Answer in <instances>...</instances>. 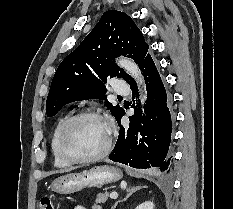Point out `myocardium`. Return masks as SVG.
Wrapping results in <instances>:
<instances>
[{
	"mask_svg": "<svg viewBox=\"0 0 233 209\" xmlns=\"http://www.w3.org/2000/svg\"><path fill=\"white\" fill-rule=\"evenodd\" d=\"M84 118H96L103 122L102 116L99 113L92 111V110L80 111L70 116L67 119L60 133L58 149H59L60 156L70 164H86V163H91V162L100 160L101 158L105 157L109 153L111 146H112V136H111L110 131L106 128L107 140H106L105 145L99 152H97L94 155L87 156V157L72 156L66 149V142H67L70 130L73 127V125L77 121L84 119Z\"/></svg>",
	"mask_w": 233,
	"mask_h": 209,
	"instance_id": "f54148a6",
	"label": "myocardium"
}]
</instances>
